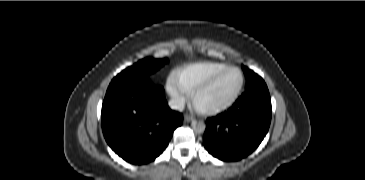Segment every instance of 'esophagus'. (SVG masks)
I'll return each instance as SVG.
<instances>
[{"mask_svg":"<svg viewBox=\"0 0 365 180\" xmlns=\"http://www.w3.org/2000/svg\"><path fill=\"white\" fill-rule=\"evenodd\" d=\"M194 118L192 117V116H190V115H188V114H186L185 116H184V121L185 122H190V121H192Z\"/></svg>","mask_w":365,"mask_h":180,"instance_id":"obj_1","label":"esophagus"}]
</instances>
